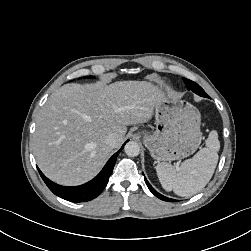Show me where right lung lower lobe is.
<instances>
[{"label": "right lung lower lobe", "mask_w": 251, "mask_h": 251, "mask_svg": "<svg viewBox=\"0 0 251 251\" xmlns=\"http://www.w3.org/2000/svg\"><path fill=\"white\" fill-rule=\"evenodd\" d=\"M124 145L109 159L107 164L94 179L80 186L66 187L57 185L56 183L50 181L47 177H45V175L39 170V168L38 171L43 181L55 195L71 202H86L96 198L103 191L113 171L117 156L123 149Z\"/></svg>", "instance_id": "1"}]
</instances>
